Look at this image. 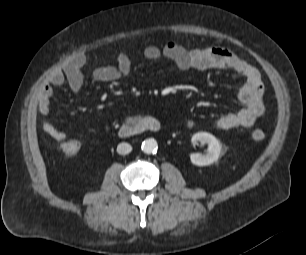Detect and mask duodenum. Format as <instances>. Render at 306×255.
Instances as JSON below:
<instances>
[{
  "label": "duodenum",
  "mask_w": 306,
  "mask_h": 255,
  "mask_svg": "<svg viewBox=\"0 0 306 255\" xmlns=\"http://www.w3.org/2000/svg\"><path fill=\"white\" fill-rule=\"evenodd\" d=\"M159 130L160 123L158 120L151 117H144L131 120L123 125L119 130V136L126 138L143 132H158Z\"/></svg>",
  "instance_id": "obj_1"
}]
</instances>
